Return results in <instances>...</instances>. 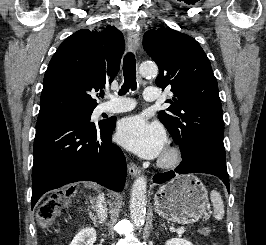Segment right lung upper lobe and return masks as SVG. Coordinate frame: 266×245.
<instances>
[{
  "label": "right lung upper lobe",
  "mask_w": 266,
  "mask_h": 245,
  "mask_svg": "<svg viewBox=\"0 0 266 245\" xmlns=\"http://www.w3.org/2000/svg\"><path fill=\"white\" fill-rule=\"evenodd\" d=\"M124 38L114 26L81 29L69 36L53 55L45 72L37 121L94 109L90 92L111 83L124 52Z\"/></svg>",
  "instance_id": "obj_1"
}]
</instances>
